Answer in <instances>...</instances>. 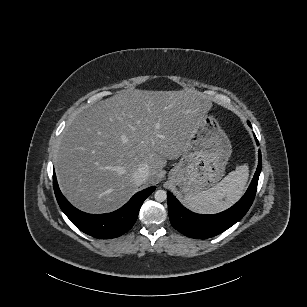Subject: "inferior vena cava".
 <instances>
[{"mask_svg": "<svg viewBox=\"0 0 307 307\" xmlns=\"http://www.w3.org/2000/svg\"><path fill=\"white\" fill-rule=\"evenodd\" d=\"M148 176H149V166L147 164H142L133 173L134 183L136 185H141L147 180Z\"/></svg>", "mask_w": 307, "mask_h": 307, "instance_id": "obj_1", "label": "inferior vena cava"}]
</instances>
